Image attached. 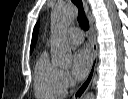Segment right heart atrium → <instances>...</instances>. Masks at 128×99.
Masks as SVG:
<instances>
[{"label":"right heart atrium","mask_w":128,"mask_h":99,"mask_svg":"<svg viewBox=\"0 0 128 99\" xmlns=\"http://www.w3.org/2000/svg\"><path fill=\"white\" fill-rule=\"evenodd\" d=\"M62 81L65 88L72 85L73 79L68 71H62Z\"/></svg>","instance_id":"obj_1"}]
</instances>
